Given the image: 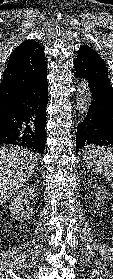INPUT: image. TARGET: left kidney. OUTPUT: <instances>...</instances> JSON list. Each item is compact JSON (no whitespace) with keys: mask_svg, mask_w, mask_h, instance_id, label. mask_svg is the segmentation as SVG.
Masks as SVG:
<instances>
[{"mask_svg":"<svg viewBox=\"0 0 113 279\" xmlns=\"http://www.w3.org/2000/svg\"><path fill=\"white\" fill-rule=\"evenodd\" d=\"M93 188L96 190V197H97V201H98V205L96 202V206L98 208V206H102L104 204V198H107L108 192L103 188V187H99L96 184L93 185Z\"/></svg>","mask_w":113,"mask_h":279,"instance_id":"left-kidney-1","label":"left kidney"}]
</instances>
